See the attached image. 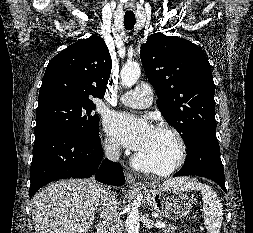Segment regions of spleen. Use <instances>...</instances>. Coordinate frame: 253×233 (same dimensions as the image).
Instances as JSON below:
<instances>
[{"instance_id": "3e777b00", "label": "spleen", "mask_w": 253, "mask_h": 233, "mask_svg": "<svg viewBox=\"0 0 253 233\" xmlns=\"http://www.w3.org/2000/svg\"><path fill=\"white\" fill-rule=\"evenodd\" d=\"M172 188L180 191H200L203 200V211L206 215L204 225L210 233H219L223 220V206L216 192L208 185L187 178L173 179Z\"/></svg>"}]
</instances>
